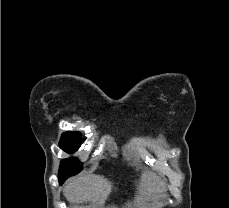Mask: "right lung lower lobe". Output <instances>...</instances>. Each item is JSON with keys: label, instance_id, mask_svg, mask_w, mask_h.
<instances>
[{"label": "right lung lower lobe", "instance_id": "98d812e1", "mask_svg": "<svg viewBox=\"0 0 229 208\" xmlns=\"http://www.w3.org/2000/svg\"><path fill=\"white\" fill-rule=\"evenodd\" d=\"M66 178H68V177H66V176H64V177H59L60 185L63 184V182H64V180H65Z\"/></svg>", "mask_w": 229, "mask_h": 208}]
</instances>
